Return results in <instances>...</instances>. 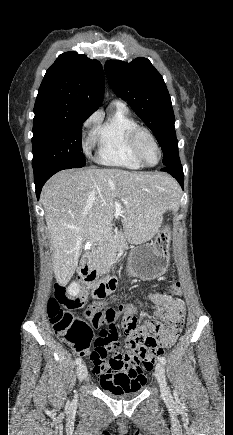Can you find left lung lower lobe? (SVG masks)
<instances>
[{"mask_svg":"<svg viewBox=\"0 0 233 435\" xmlns=\"http://www.w3.org/2000/svg\"><path fill=\"white\" fill-rule=\"evenodd\" d=\"M161 170L171 174L179 182V184L183 188L184 174H183V169H182L180 162L172 164L170 166H167Z\"/></svg>","mask_w":233,"mask_h":435,"instance_id":"left-lung-lower-lobe-1","label":"left lung lower lobe"}]
</instances>
